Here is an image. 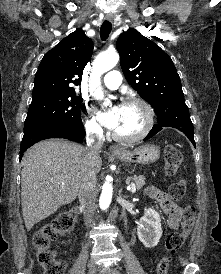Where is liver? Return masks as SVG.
Listing matches in <instances>:
<instances>
[{"label":"liver","mask_w":221,"mask_h":274,"mask_svg":"<svg viewBox=\"0 0 221 274\" xmlns=\"http://www.w3.org/2000/svg\"><path fill=\"white\" fill-rule=\"evenodd\" d=\"M86 148L65 140H44L32 146L24 155L21 172V201L25 227L28 231L73 202L85 175ZM102 166L100 156L94 170Z\"/></svg>","instance_id":"liver-1"}]
</instances>
